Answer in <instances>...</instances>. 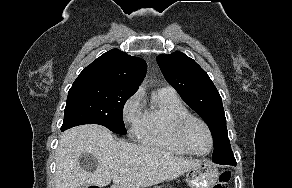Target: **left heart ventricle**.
<instances>
[{
	"label": "left heart ventricle",
	"mask_w": 292,
	"mask_h": 188,
	"mask_svg": "<svg viewBox=\"0 0 292 188\" xmlns=\"http://www.w3.org/2000/svg\"><path fill=\"white\" fill-rule=\"evenodd\" d=\"M185 140L192 150L198 153L208 151L210 141L205 128L198 122H191L185 130Z\"/></svg>",
	"instance_id": "1"
}]
</instances>
